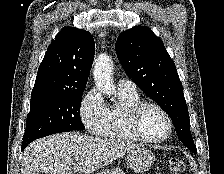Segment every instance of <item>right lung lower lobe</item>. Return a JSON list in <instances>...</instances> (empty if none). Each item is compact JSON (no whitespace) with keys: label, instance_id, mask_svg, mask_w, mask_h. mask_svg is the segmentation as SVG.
Returning a JSON list of instances; mask_svg holds the SVG:
<instances>
[{"label":"right lung lower lobe","instance_id":"obj_1","mask_svg":"<svg viewBox=\"0 0 224 174\" xmlns=\"http://www.w3.org/2000/svg\"><path fill=\"white\" fill-rule=\"evenodd\" d=\"M27 145H28V143H23L22 144V149H24Z\"/></svg>","mask_w":224,"mask_h":174}]
</instances>
